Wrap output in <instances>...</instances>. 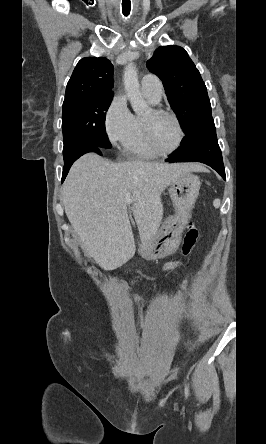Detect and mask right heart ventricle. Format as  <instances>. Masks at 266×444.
Instances as JSON below:
<instances>
[{
  "mask_svg": "<svg viewBox=\"0 0 266 444\" xmlns=\"http://www.w3.org/2000/svg\"><path fill=\"white\" fill-rule=\"evenodd\" d=\"M149 102L156 104L145 96ZM143 117L132 115L128 134L122 143L123 154L134 159H155L158 155L148 146L143 132Z\"/></svg>",
  "mask_w": 266,
  "mask_h": 444,
  "instance_id": "e07e8e85",
  "label": "right heart ventricle"
}]
</instances>
